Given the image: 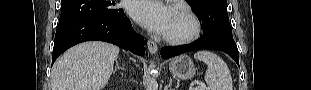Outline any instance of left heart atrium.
Listing matches in <instances>:
<instances>
[{
    "label": "left heart atrium",
    "instance_id": "left-heart-atrium-1",
    "mask_svg": "<svg viewBox=\"0 0 311 90\" xmlns=\"http://www.w3.org/2000/svg\"><path fill=\"white\" fill-rule=\"evenodd\" d=\"M131 17L146 29L165 34L173 11L170 7L155 0H134L129 7Z\"/></svg>",
    "mask_w": 311,
    "mask_h": 90
}]
</instances>
